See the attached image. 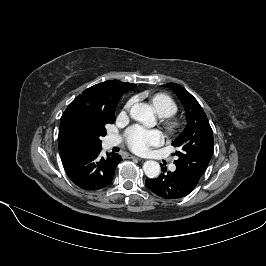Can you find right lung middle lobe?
Listing matches in <instances>:
<instances>
[{"label": "right lung middle lobe", "instance_id": "dd1d6c3e", "mask_svg": "<svg viewBox=\"0 0 266 266\" xmlns=\"http://www.w3.org/2000/svg\"><path fill=\"white\" fill-rule=\"evenodd\" d=\"M114 114L84 113L78 118L77 131L89 148L101 147L100 137L106 135L105 125L115 122Z\"/></svg>", "mask_w": 266, "mask_h": 266}]
</instances>
